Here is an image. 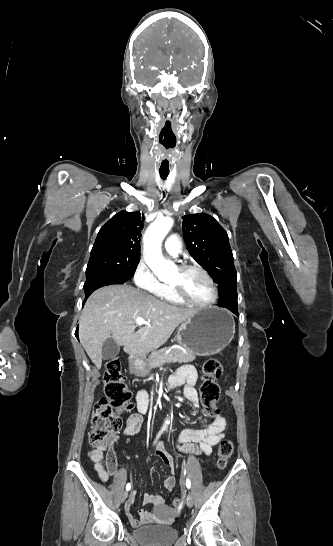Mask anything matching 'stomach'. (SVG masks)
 I'll return each instance as SVG.
<instances>
[{
	"label": "stomach",
	"mask_w": 333,
	"mask_h": 546,
	"mask_svg": "<svg viewBox=\"0 0 333 546\" xmlns=\"http://www.w3.org/2000/svg\"><path fill=\"white\" fill-rule=\"evenodd\" d=\"M235 323L233 317L217 307L198 310L184 321L177 332L178 342L197 356H212L230 344L234 338ZM131 372L139 377L149 374L144 356H135L129 360Z\"/></svg>",
	"instance_id": "1"
}]
</instances>
